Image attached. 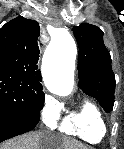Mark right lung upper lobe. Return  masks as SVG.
I'll return each mask as SVG.
<instances>
[{"instance_id": "1", "label": "right lung upper lobe", "mask_w": 124, "mask_h": 149, "mask_svg": "<svg viewBox=\"0 0 124 149\" xmlns=\"http://www.w3.org/2000/svg\"><path fill=\"white\" fill-rule=\"evenodd\" d=\"M39 31L36 21L22 16L6 23L0 29V70L19 74L33 86L42 87L37 65Z\"/></svg>"}]
</instances>
